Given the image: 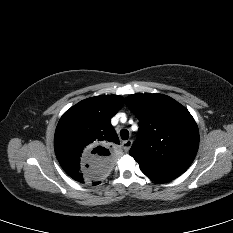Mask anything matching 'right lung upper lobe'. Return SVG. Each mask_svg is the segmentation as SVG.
Segmentation results:
<instances>
[{
	"label": "right lung upper lobe",
	"mask_w": 233,
	"mask_h": 233,
	"mask_svg": "<svg viewBox=\"0 0 233 233\" xmlns=\"http://www.w3.org/2000/svg\"><path fill=\"white\" fill-rule=\"evenodd\" d=\"M124 98L101 95L77 103L59 120L54 136L56 157L74 180L107 186L113 180L119 138L111 118Z\"/></svg>",
	"instance_id": "cb5924a9"
}]
</instances>
